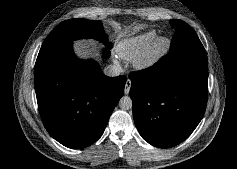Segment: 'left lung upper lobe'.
Returning <instances> with one entry per match:
<instances>
[{
	"instance_id": "5c2ea615",
	"label": "left lung upper lobe",
	"mask_w": 237,
	"mask_h": 169,
	"mask_svg": "<svg viewBox=\"0 0 237 169\" xmlns=\"http://www.w3.org/2000/svg\"><path fill=\"white\" fill-rule=\"evenodd\" d=\"M170 24L176 28V31L169 53L165 56L166 62L189 55H206V51L192 27L179 19L170 20Z\"/></svg>"
}]
</instances>
